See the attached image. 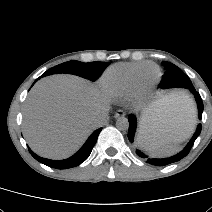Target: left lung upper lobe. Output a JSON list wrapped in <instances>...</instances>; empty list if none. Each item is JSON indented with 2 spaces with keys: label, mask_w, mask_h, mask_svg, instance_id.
<instances>
[{
  "label": "left lung upper lobe",
  "mask_w": 212,
  "mask_h": 212,
  "mask_svg": "<svg viewBox=\"0 0 212 212\" xmlns=\"http://www.w3.org/2000/svg\"><path fill=\"white\" fill-rule=\"evenodd\" d=\"M166 69L161 82V88H190L193 87L189 77L177 66L170 62H162Z\"/></svg>",
  "instance_id": "1"
}]
</instances>
